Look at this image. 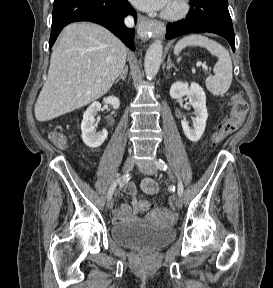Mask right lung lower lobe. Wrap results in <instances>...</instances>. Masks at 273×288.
Returning a JSON list of instances; mask_svg holds the SVG:
<instances>
[{
    "instance_id": "98d812e1",
    "label": "right lung lower lobe",
    "mask_w": 273,
    "mask_h": 288,
    "mask_svg": "<svg viewBox=\"0 0 273 288\" xmlns=\"http://www.w3.org/2000/svg\"><path fill=\"white\" fill-rule=\"evenodd\" d=\"M129 14L137 19L136 11L127 0H55L49 48L66 25L91 21L106 27L131 50H135V30L126 28L123 22Z\"/></svg>"
}]
</instances>
